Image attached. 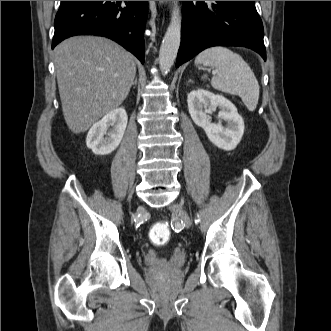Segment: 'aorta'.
<instances>
[{"label":"aorta","mask_w":331,"mask_h":331,"mask_svg":"<svg viewBox=\"0 0 331 331\" xmlns=\"http://www.w3.org/2000/svg\"><path fill=\"white\" fill-rule=\"evenodd\" d=\"M171 21L164 35L159 51V67L162 73H167L177 56L181 41V16L178 1H173Z\"/></svg>","instance_id":"aorta-1"}]
</instances>
